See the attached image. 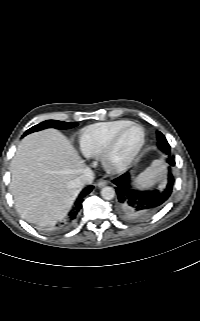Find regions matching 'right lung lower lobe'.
Instances as JSON below:
<instances>
[{
    "instance_id": "obj_1",
    "label": "right lung lower lobe",
    "mask_w": 200,
    "mask_h": 321,
    "mask_svg": "<svg viewBox=\"0 0 200 321\" xmlns=\"http://www.w3.org/2000/svg\"><path fill=\"white\" fill-rule=\"evenodd\" d=\"M92 189H93V186H88L87 188H85L83 190V192L80 194L79 198L76 201L75 207L70 212L66 224H63V227L68 226L70 223H72L76 219L78 212L80 211V209L82 207L83 197H85L87 194H89L92 191Z\"/></svg>"
}]
</instances>
